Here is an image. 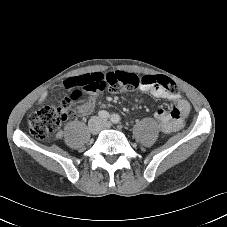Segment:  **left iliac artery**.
<instances>
[{
  "mask_svg": "<svg viewBox=\"0 0 227 227\" xmlns=\"http://www.w3.org/2000/svg\"><path fill=\"white\" fill-rule=\"evenodd\" d=\"M111 121H112V123H114V124L119 123V122H120V116H119L118 114H113V115L111 116Z\"/></svg>",
  "mask_w": 227,
  "mask_h": 227,
  "instance_id": "1",
  "label": "left iliac artery"
}]
</instances>
